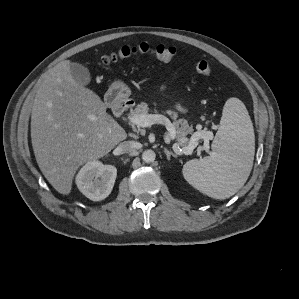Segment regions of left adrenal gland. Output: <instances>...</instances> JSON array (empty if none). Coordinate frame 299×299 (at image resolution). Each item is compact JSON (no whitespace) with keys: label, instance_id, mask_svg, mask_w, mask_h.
<instances>
[{"label":"left adrenal gland","instance_id":"left-adrenal-gland-1","mask_svg":"<svg viewBox=\"0 0 299 299\" xmlns=\"http://www.w3.org/2000/svg\"><path fill=\"white\" fill-rule=\"evenodd\" d=\"M164 153L166 154L168 161H170L171 156H173L174 158L178 157L176 154H174L172 151H169L167 148H164Z\"/></svg>","mask_w":299,"mask_h":299}]
</instances>
